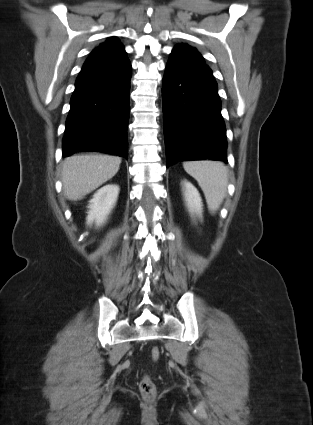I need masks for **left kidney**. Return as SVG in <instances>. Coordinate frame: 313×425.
I'll return each mask as SVG.
<instances>
[{"instance_id": "1", "label": "left kidney", "mask_w": 313, "mask_h": 425, "mask_svg": "<svg viewBox=\"0 0 313 425\" xmlns=\"http://www.w3.org/2000/svg\"><path fill=\"white\" fill-rule=\"evenodd\" d=\"M183 195L191 214L202 217L203 203L198 190L188 181H183Z\"/></svg>"}]
</instances>
